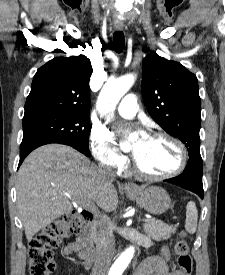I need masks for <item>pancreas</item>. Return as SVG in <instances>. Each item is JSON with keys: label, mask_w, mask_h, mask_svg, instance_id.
<instances>
[{"label": "pancreas", "mask_w": 225, "mask_h": 275, "mask_svg": "<svg viewBox=\"0 0 225 275\" xmlns=\"http://www.w3.org/2000/svg\"><path fill=\"white\" fill-rule=\"evenodd\" d=\"M145 222L144 232L149 239L155 241L169 239L177 230L176 226L167 225L160 220L146 219Z\"/></svg>", "instance_id": "cf45deb5"}]
</instances>
